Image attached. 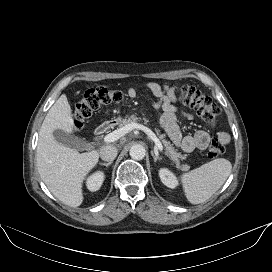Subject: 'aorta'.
Segmentation results:
<instances>
[{
	"instance_id": "obj_1",
	"label": "aorta",
	"mask_w": 272,
	"mask_h": 272,
	"mask_svg": "<svg viewBox=\"0 0 272 272\" xmlns=\"http://www.w3.org/2000/svg\"><path fill=\"white\" fill-rule=\"evenodd\" d=\"M146 150L142 145L135 144L130 148V156L134 160H142L145 157Z\"/></svg>"
}]
</instances>
